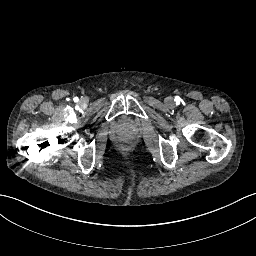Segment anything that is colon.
<instances>
[{
  "mask_svg": "<svg viewBox=\"0 0 256 256\" xmlns=\"http://www.w3.org/2000/svg\"><path fill=\"white\" fill-rule=\"evenodd\" d=\"M120 147L123 148L124 151H130L131 150V143L126 141L120 142Z\"/></svg>",
  "mask_w": 256,
  "mask_h": 256,
  "instance_id": "obj_1",
  "label": "colon"
}]
</instances>
